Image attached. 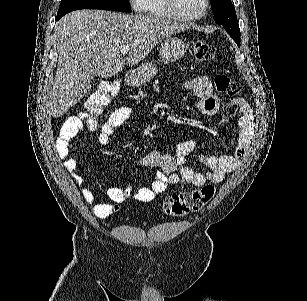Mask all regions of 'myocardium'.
Masks as SVG:
<instances>
[{"mask_svg":"<svg viewBox=\"0 0 307 301\" xmlns=\"http://www.w3.org/2000/svg\"><path fill=\"white\" fill-rule=\"evenodd\" d=\"M163 11L168 12L165 17H171L172 22H197L199 17H204L207 10V0H202L199 11H174L173 0H164Z\"/></svg>","mask_w":307,"mask_h":301,"instance_id":"1","label":"myocardium"}]
</instances>
